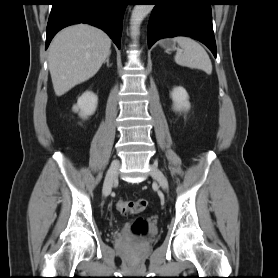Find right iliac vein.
I'll use <instances>...</instances> for the list:
<instances>
[{"instance_id":"1","label":"right iliac vein","mask_w":278,"mask_h":278,"mask_svg":"<svg viewBox=\"0 0 278 278\" xmlns=\"http://www.w3.org/2000/svg\"><path fill=\"white\" fill-rule=\"evenodd\" d=\"M119 167V161H115L111 164L110 168L108 169L102 190L104 196L109 195V193L111 192L113 183L116 180L118 174Z\"/></svg>"}]
</instances>
